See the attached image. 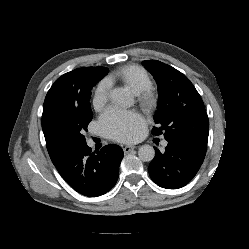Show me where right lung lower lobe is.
Wrapping results in <instances>:
<instances>
[{
	"instance_id": "1",
	"label": "right lung lower lobe",
	"mask_w": 249,
	"mask_h": 249,
	"mask_svg": "<svg viewBox=\"0 0 249 249\" xmlns=\"http://www.w3.org/2000/svg\"><path fill=\"white\" fill-rule=\"evenodd\" d=\"M62 178L78 193L96 197L117 182L123 150L106 145L95 154L87 144L61 147L50 157Z\"/></svg>"
}]
</instances>
